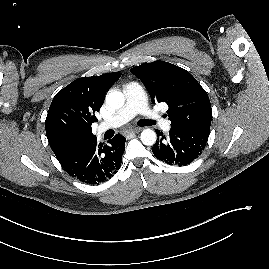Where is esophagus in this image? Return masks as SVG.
Listing matches in <instances>:
<instances>
[{"label": "esophagus", "mask_w": 269, "mask_h": 269, "mask_svg": "<svg viewBox=\"0 0 269 269\" xmlns=\"http://www.w3.org/2000/svg\"><path fill=\"white\" fill-rule=\"evenodd\" d=\"M140 130L139 129H131V130H128L126 131V134L129 135V134H136L138 133Z\"/></svg>", "instance_id": "34e87169"}]
</instances>
